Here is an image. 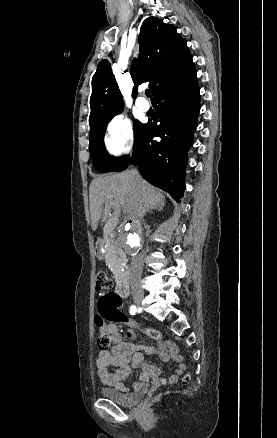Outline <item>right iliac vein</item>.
<instances>
[{"label":"right iliac vein","mask_w":277,"mask_h":438,"mask_svg":"<svg viewBox=\"0 0 277 438\" xmlns=\"http://www.w3.org/2000/svg\"><path fill=\"white\" fill-rule=\"evenodd\" d=\"M142 300H143V296H136V297L134 298V301H135V303H136L137 305H140L141 302H142Z\"/></svg>","instance_id":"right-iliac-vein-1"}]
</instances>
